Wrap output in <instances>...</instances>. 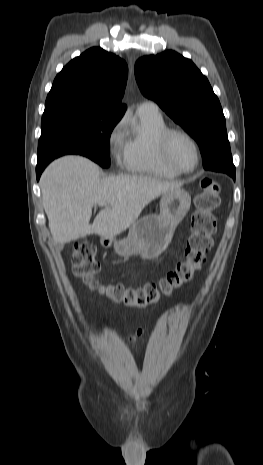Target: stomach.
Returning a JSON list of instances; mask_svg holds the SVG:
<instances>
[{"instance_id":"stomach-1","label":"stomach","mask_w":263,"mask_h":465,"mask_svg":"<svg viewBox=\"0 0 263 465\" xmlns=\"http://www.w3.org/2000/svg\"><path fill=\"white\" fill-rule=\"evenodd\" d=\"M191 197L183 189L162 194L160 214L147 215L137 220L127 237L122 239L102 237L101 245L111 247L121 257L139 254L144 259H154L168 247L177 225L190 209Z\"/></svg>"}]
</instances>
